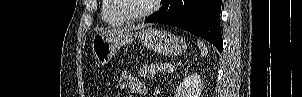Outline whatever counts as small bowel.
Masks as SVG:
<instances>
[{"label":"small bowel","instance_id":"small-bowel-1","mask_svg":"<svg viewBox=\"0 0 302 97\" xmlns=\"http://www.w3.org/2000/svg\"><path fill=\"white\" fill-rule=\"evenodd\" d=\"M118 90L130 91L136 96L146 97L147 89L145 85L134 77L130 72H123L118 81Z\"/></svg>","mask_w":302,"mask_h":97}]
</instances>
